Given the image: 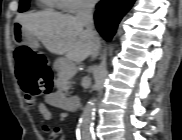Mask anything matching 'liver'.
I'll use <instances>...</instances> for the list:
<instances>
[{"instance_id": "obj_1", "label": "liver", "mask_w": 182, "mask_h": 140, "mask_svg": "<svg viewBox=\"0 0 182 140\" xmlns=\"http://www.w3.org/2000/svg\"><path fill=\"white\" fill-rule=\"evenodd\" d=\"M17 21L22 25L24 36L36 37L53 54H65L75 62H81L91 54L90 35L75 16L41 11L19 15Z\"/></svg>"}]
</instances>
